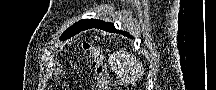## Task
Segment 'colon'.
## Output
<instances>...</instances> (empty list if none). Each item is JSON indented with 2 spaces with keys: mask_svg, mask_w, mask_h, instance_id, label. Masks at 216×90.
<instances>
[{
  "mask_svg": "<svg viewBox=\"0 0 216 90\" xmlns=\"http://www.w3.org/2000/svg\"><path fill=\"white\" fill-rule=\"evenodd\" d=\"M87 48L91 52V59L94 68V79H95L94 90H108L109 77L101 53L96 49L90 48L89 46H87Z\"/></svg>",
  "mask_w": 216,
  "mask_h": 90,
  "instance_id": "colon-1",
  "label": "colon"
}]
</instances>
